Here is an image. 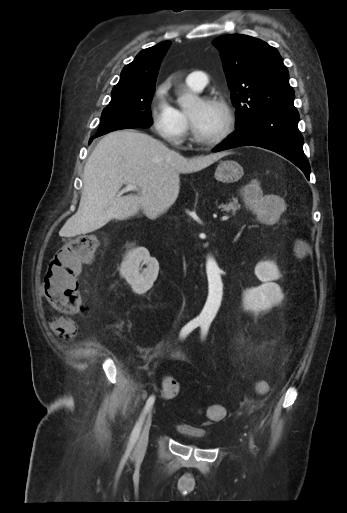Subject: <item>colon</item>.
<instances>
[{"instance_id": "1", "label": "colon", "mask_w": 347, "mask_h": 513, "mask_svg": "<svg viewBox=\"0 0 347 513\" xmlns=\"http://www.w3.org/2000/svg\"><path fill=\"white\" fill-rule=\"evenodd\" d=\"M243 199L247 206L257 211V219L267 225L275 224L285 212V206L277 196L263 197L257 185H249L243 191ZM99 246L96 236L88 234L78 236L62 245L49 262L44 276V290L49 304L62 313H73L81 309L83 313L90 311L88 304H83L78 289V275L82 267L89 263ZM308 253L305 244L300 243L298 254ZM267 385L260 383L257 390L265 392ZM180 393V384L173 378L163 382V395L166 399H174ZM225 408L212 405L207 416L213 421L225 417Z\"/></svg>"}]
</instances>
